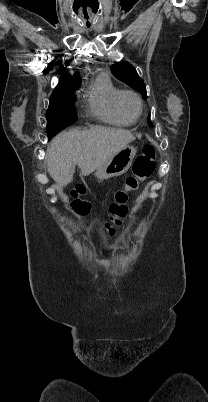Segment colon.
Returning a JSON list of instances; mask_svg holds the SVG:
<instances>
[{"mask_svg": "<svg viewBox=\"0 0 208 402\" xmlns=\"http://www.w3.org/2000/svg\"><path fill=\"white\" fill-rule=\"evenodd\" d=\"M156 154L155 146L151 142H147L142 149V153L139 154L132 164V173L128 175L123 186L115 190L113 195V202L110 205L111 217L109 221L103 224L101 227H95L97 233V239L102 237L104 232L109 235H113L116 229L121 226L124 217L127 214L126 203L129 199V195L136 191L139 184L144 179L149 178L155 168L154 158ZM86 188L83 184H77L71 195L73 197H81L85 195ZM81 213L87 214L90 211L89 206L83 205L80 208Z\"/></svg>", "mask_w": 208, "mask_h": 402, "instance_id": "1", "label": "colon"}]
</instances>
